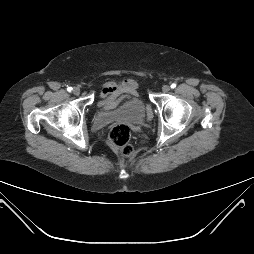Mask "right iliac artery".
Returning <instances> with one entry per match:
<instances>
[{
	"label": "right iliac artery",
	"instance_id": "1",
	"mask_svg": "<svg viewBox=\"0 0 254 254\" xmlns=\"http://www.w3.org/2000/svg\"><path fill=\"white\" fill-rule=\"evenodd\" d=\"M67 91L71 92L72 91V87H68Z\"/></svg>",
	"mask_w": 254,
	"mask_h": 254
}]
</instances>
